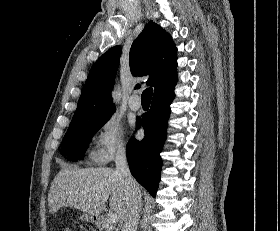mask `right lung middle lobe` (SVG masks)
Segmentation results:
<instances>
[{
	"label": "right lung middle lobe",
	"mask_w": 280,
	"mask_h": 231,
	"mask_svg": "<svg viewBox=\"0 0 280 231\" xmlns=\"http://www.w3.org/2000/svg\"><path fill=\"white\" fill-rule=\"evenodd\" d=\"M110 117L70 124L61 144V154L68 160L82 159L91 138Z\"/></svg>",
	"instance_id": "obj_1"
}]
</instances>
